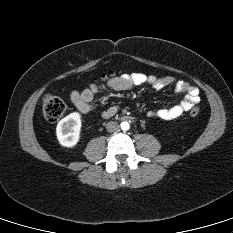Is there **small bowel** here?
<instances>
[{
	"label": "small bowel",
	"instance_id": "c3829d8e",
	"mask_svg": "<svg viewBox=\"0 0 233 233\" xmlns=\"http://www.w3.org/2000/svg\"><path fill=\"white\" fill-rule=\"evenodd\" d=\"M143 84H148L156 90H162L163 88L174 84L176 93L185 94L184 99L180 103L169 108H161L156 111H151L149 116L154 118L162 120L176 119L183 113L189 111L200 101L198 88L191 85L187 81L177 79L173 76L158 77L139 72L124 74L120 77L113 78L109 80L106 85L91 84L83 90H74L70 94V99L80 112L89 113L94 109V106L92 105L94 95L105 86L113 90L121 91L131 90L135 86H140ZM118 110V106H111L103 112V117L110 118L114 116Z\"/></svg>",
	"mask_w": 233,
	"mask_h": 233
}]
</instances>
